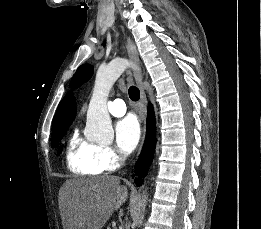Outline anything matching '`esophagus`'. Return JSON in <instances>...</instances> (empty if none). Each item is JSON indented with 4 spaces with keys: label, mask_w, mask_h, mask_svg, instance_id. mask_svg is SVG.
<instances>
[{
    "label": "esophagus",
    "mask_w": 261,
    "mask_h": 229,
    "mask_svg": "<svg viewBox=\"0 0 261 229\" xmlns=\"http://www.w3.org/2000/svg\"><path fill=\"white\" fill-rule=\"evenodd\" d=\"M126 48H127V52H128V56L130 61L138 66L139 64V56H138V52L137 49L133 43V41L131 40L130 37H127L126 40ZM133 77L135 79V81L137 82L138 86H139V90H140V102H141V112L143 114L144 117V124H143V135L141 137V141L138 147V152H137V156H136V161L138 159V156L140 155V152L142 150V146L144 143V138H145V126H146V121H145V116L147 113V108H146V94H145V90H144V86H143V79H142V75L140 73L139 70H134L133 72Z\"/></svg>",
    "instance_id": "esophagus-1"
}]
</instances>
